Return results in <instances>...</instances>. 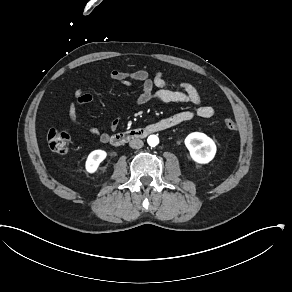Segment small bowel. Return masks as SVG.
<instances>
[{
	"label": "small bowel",
	"mask_w": 292,
	"mask_h": 292,
	"mask_svg": "<svg viewBox=\"0 0 292 292\" xmlns=\"http://www.w3.org/2000/svg\"><path fill=\"white\" fill-rule=\"evenodd\" d=\"M110 78L126 85L132 82H141V93L136 99L138 105H144L150 102H181L195 106V110H185L160 120L158 122L162 124L160 131L190 121L195 116L208 119L215 114V109L212 106L202 104L201 95L192 84L185 81L169 82L165 79L161 71H158L151 77L146 70L142 69L132 72L113 69L110 72ZM93 99L94 95L92 93L77 89L74 93V101L70 104L68 109V119L74 126L91 135L98 136L102 143H107L110 138L109 132H101L96 127H86L82 125L79 120V108L90 103ZM118 124V119H115L111 123L110 129L112 131L115 130Z\"/></svg>",
	"instance_id": "obj_1"
}]
</instances>
